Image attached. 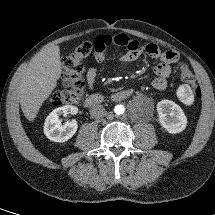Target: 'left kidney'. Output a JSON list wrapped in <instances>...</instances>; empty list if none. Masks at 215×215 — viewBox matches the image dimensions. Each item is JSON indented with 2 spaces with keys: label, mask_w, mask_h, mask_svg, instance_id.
<instances>
[{
  "label": "left kidney",
  "mask_w": 215,
  "mask_h": 215,
  "mask_svg": "<svg viewBox=\"0 0 215 215\" xmlns=\"http://www.w3.org/2000/svg\"><path fill=\"white\" fill-rule=\"evenodd\" d=\"M159 123L169 133L182 132L187 125V117L182 108L171 100H162L157 104Z\"/></svg>",
  "instance_id": "1"
}]
</instances>
